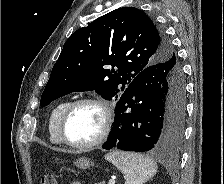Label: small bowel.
Returning <instances> with one entry per match:
<instances>
[{
	"label": "small bowel",
	"instance_id": "small-bowel-1",
	"mask_svg": "<svg viewBox=\"0 0 224 184\" xmlns=\"http://www.w3.org/2000/svg\"><path fill=\"white\" fill-rule=\"evenodd\" d=\"M71 184H82V183H80V182H74V183H71Z\"/></svg>",
	"mask_w": 224,
	"mask_h": 184
}]
</instances>
